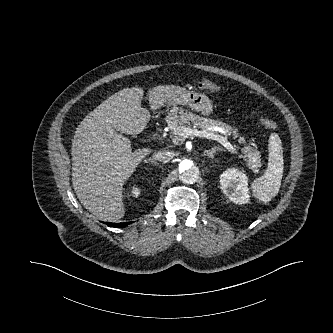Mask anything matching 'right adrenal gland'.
<instances>
[{
  "label": "right adrenal gland",
  "instance_id": "obj_1",
  "mask_svg": "<svg viewBox=\"0 0 333 333\" xmlns=\"http://www.w3.org/2000/svg\"><path fill=\"white\" fill-rule=\"evenodd\" d=\"M148 162H152V163H154L155 165H157V162L153 161L152 159H148Z\"/></svg>",
  "mask_w": 333,
  "mask_h": 333
}]
</instances>
